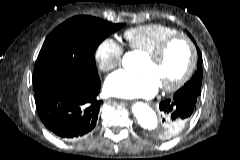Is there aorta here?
Instances as JSON below:
<instances>
[{"instance_id": "1", "label": "aorta", "mask_w": 240, "mask_h": 160, "mask_svg": "<svg viewBox=\"0 0 240 160\" xmlns=\"http://www.w3.org/2000/svg\"><path fill=\"white\" fill-rule=\"evenodd\" d=\"M132 111L141 127L148 131H152L157 128V116L152 108H150L147 104L137 102L132 106Z\"/></svg>"}]
</instances>
